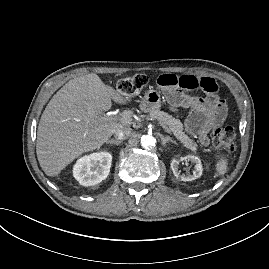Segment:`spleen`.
<instances>
[{
	"label": "spleen",
	"mask_w": 269,
	"mask_h": 269,
	"mask_svg": "<svg viewBox=\"0 0 269 269\" xmlns=\"http://www.w3.org/2000/svg\"><path fill=\"white\" fill-rule=\"evenodd\" d=\"M216 176H223L228 170V160L221 158L217 161L216 165Z\"/></svg>",
	"instance_id": "spleen-1"
}]
</instances>
